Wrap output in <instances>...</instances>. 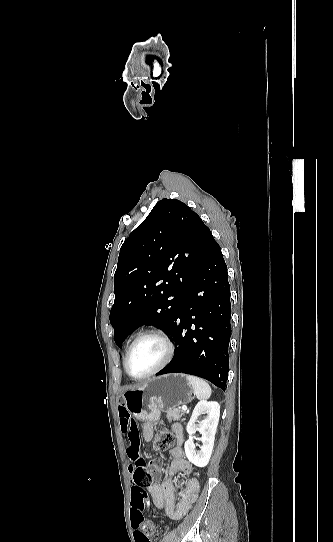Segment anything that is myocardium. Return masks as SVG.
<instances>
[{"label": "myocardium", "mask_w": 333, "mask_h": 542, "mask_svg": "<svg viewBox=\"0 0 333 542\" xmlns=\"http://www.w3.org/2000/svg\"><path fill=\"white\" fill-rule=\"evenodd\" d=\"M130 236H132V235H130ZM146 338H155V339L159 340L163 344L164 350H165L163 360L159 363V365L157 367H155L150 372H148V373H146V374H144L142 376H133L129 372V369H128V360H129L130 354H131L133 348L135 347V345L138 342H140L141 340L146 339ZM174 352H175L174 345H173L170 337L164 331L155 330V329L146 330V331L142 332L141 334H139L131 342V344L129 345L128 350H127L126 355H125V358H124V369H125L126 373L128 374V376L131 377L132 379L142 380V379L149 378V377L157 374L161 370H163L171 362V360H172V358L174 356Z\"/></svg>", "instance_id": "1"}]
</instances>
